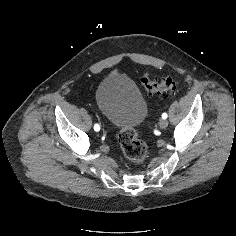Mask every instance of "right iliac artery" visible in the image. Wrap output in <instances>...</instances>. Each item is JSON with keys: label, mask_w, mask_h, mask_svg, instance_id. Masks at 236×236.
<instances>
[{"label": "right iliac artery", "mask_w": 236, "mask_h": 236, "mask_svg": "<svg viewBox=\"0 0 236 236\" xmlns=\"http://www.w3.org/2000/svg\"><path fill=\"white\" fill-rule=\"evenodd\" d=\"M94 130H95V131H99V130H100V126H99L98 124H95V125H94Z\"/></svg>", "instance_id": "1"}]
</instances>
